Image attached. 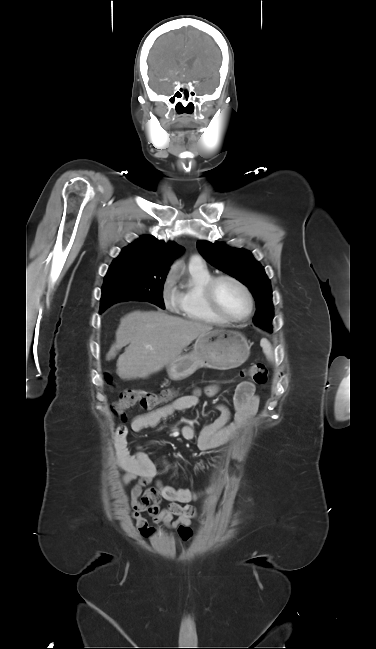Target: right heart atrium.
I'll return each instance as SVG.
<instances>
[{"instance_id": "d8ad5b80", "label": "right heart atrium", "mask_w": 376, "mask_h": 649, "mask_svg": "<svg viewBox=\"0 0 376 649\" xmlns=\"http://www.w3.org/2000/svg\"><path fill=\"white\" fill-rule=\"evenodd\" d=\"M175 281V276L172 272H169L162 283L161 296L164 305L168 309H174L177 303V296L175 289L173 288Z\"/></svg>"}]
</instances>
